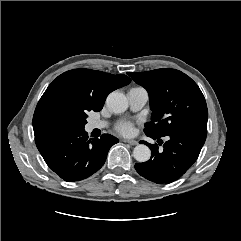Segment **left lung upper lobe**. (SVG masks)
<instances>
[{
    "instance_id": "left-lung-upper-lobe-1",
    "label": "left lung upper lobe",
    "mask_w": 241,
    "mask_h": 241,
    "mask_svg": "<svg viewBox=\"0 0 241 241\" xmlns=\"http://www.w3.org/2000/svg\"><path fill=\"white\" fill-rule=\"evenodd\" d=\"M128 75L149 93L152 114L145 134L162 137L192 128L207 129L205 98L189 76L166 68Z\"/></svg>"
}]
</instances>
